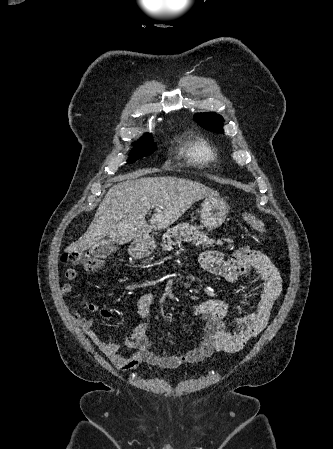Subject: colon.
I'll return each instance as SVG.
<instances>
[{
    "label": "colon",
    "mask_w": 333,
    "mask_h": 449,
    "mask_svg": "<svg viewBox=\"0 0 333 449\" xmlns=\"http://www.w3.org/2000/svg\"><path fill=\"white\" fill-rule=\"evenodd\" d=\"M244 220L255 231L265 233L267 230L266 225L259 218L251 213L245 212L243 214ZM62 261L68 264L82 266L87 271L99 270L104 260L96 255H93L86 251L71 250L62 255Z\"/></svg>",
    "instance_id": "5ec220e1"
}]
</instances>
